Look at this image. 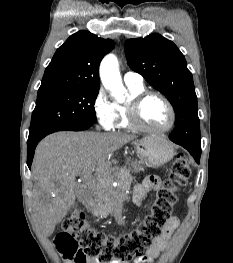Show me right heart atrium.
Here are the masks:
<instances>
[{"label":"right heart atrium","mask_w":233,"mask_h":263,"mask_svg":"<svg viewBox=\"0 0 233 263\" xmlns=\"http://www.w3.org/2000/svg\"><path fill=\"white\" fill-rule=\"evenodd\" d=\"M93 110L98 123L104 130L111 131L117 127L118 117L114 103L109 99L103 87H99L95 94Z\"/></svg>","instance_id":"d8ad5b80"}]
</instances>
